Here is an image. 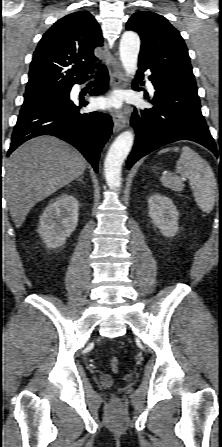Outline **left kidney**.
<instances>
[{
  "label": "left kidney",
  "mask_w": 222,
  "mask_h": 447,
  "mask_svg": "<svg viewBox=\"0 0 222 447\" xmlns=\"http://www.w3.org/2000/svg\"><path fill=\"white\" fill-rule=\"evenodd\" d=\"M149 216L154 225L166 237H173L178 232L179 213L172 200L158 193L148 199Z\"/></svg>",
  "instance_id": "5707ae66"
}]
</instances>
